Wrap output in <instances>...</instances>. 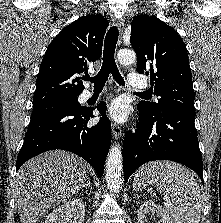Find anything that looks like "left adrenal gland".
Segmentation results:
<instances>
[{"label":"left adrenal gland","instance_id":"1","mask_svg":"<svg viewBox=\"0 0 221 223\" xmlns=\"http://www.w3.org/2000/svg\"><path fill=\"white\" fill-rule=\"evenodd\" d=\"M135 198H139V195L138 194H136V197Z\"/></svg>","mask_w":221,"mask_h":223}]
</instances>
